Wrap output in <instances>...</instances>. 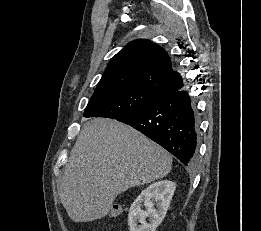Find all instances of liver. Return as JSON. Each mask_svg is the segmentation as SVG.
I'll return each instance as SVG.
<instances>
[{
    "label": "liver",
    "instance_id": "1",
    "mask_svg": "<svg viewBox=\"0 0 261 231\" xmlns=\"http://www.w3.org/2000/svg\"><path fill=\"white\" fill-rule=\"evenodd\" d=\"M172 156L134 128L108 118L86 122L71 151L60 199L74 222L105 217L117 195L165 177Z\"/></svg>",
    "mask_w": 261,
    "mask_h": 231
}]
</instances>
